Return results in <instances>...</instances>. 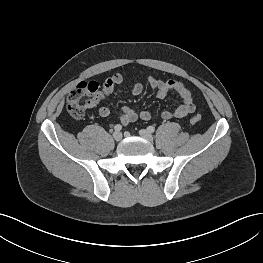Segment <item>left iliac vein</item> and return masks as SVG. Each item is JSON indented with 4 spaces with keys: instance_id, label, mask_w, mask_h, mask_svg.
Here are the masks:
<instances>
[{
    "instance_id": "left-iliac-vein-1",
    "label": "left iliac vein",
    "mask_w": 263,
    "mask_h": 263,
    "mask_svg": "<svg viewBox=\"0 0 263 263\" xmlns=\"http://www.w3.org/2000/svg\"><path fill=\"white\" fill-rule=\"evenodd\" d=\"M139 135L145 139H147L148 141H152L153 140V136L152 134L146 130V129H141L139 130Z\"/></svg>"
}]
</instances>
